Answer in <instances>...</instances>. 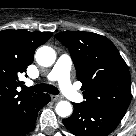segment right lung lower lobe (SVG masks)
<instances>
[{
	"label": "right lung lower lobe",
	"instance_id": "1",
	"mask_svg": "<svg viewBox=\"0 0 136 136\" xmlns=\"http://www.w3.org/2000/svg\"><path fill=\"white\" fill-rule=\"evenodd\" d=\"M50 101L48 94H38L18 119L0 127V136H25L36 122L38 111Z\"/></svg>",
	"mask_w": 136,
	"mask_h": 136
}]
</instances>
